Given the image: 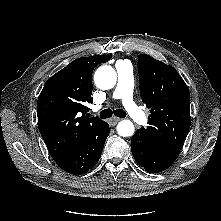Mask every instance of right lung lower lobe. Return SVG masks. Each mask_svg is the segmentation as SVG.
Returning a JSON list of instances; mask_svg holds the SVG:
<instances>
[{
	"label": "right lung lower lobe",
	"mask_w": 221,
	"mask_h": 221,
	"mask_svg": "<svg viewBox=\"0 0 221 221\" xmlns=\"http://www.w3.org/2000/svg\"><path fill=\"white\" fill-rule=\"evenodd\" d=\"M109 131L108 123H102L54 161L61 169L74 175L88 172L98 162Z\"/></svg>",
	"instance_id": "obj_1"
}]
</instances>
